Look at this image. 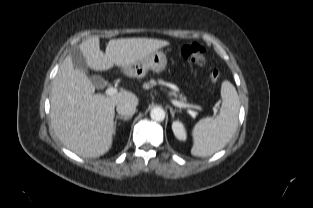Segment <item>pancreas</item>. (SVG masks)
<instances>
[{
    "instance_id": "1",
    "label": "pancreas",
    "mask_w": 313,
    "mask_h": 208,
    "mask_svg": "<svg viewBox=\"0 0 313 208\" xmlns=\"http://www.w3.org/2000/svg\"><path fill=\"white\" fill-rule=\"evenodd\" d=\"M155 83H156L155 80H150L148 83H145L143 86L144 88L148 89L149 87L155 85ZM169 94L176 96L175 92H170ZM180 99L181 101H186V97H181Z\"/></svg>"
}]
</instances>
